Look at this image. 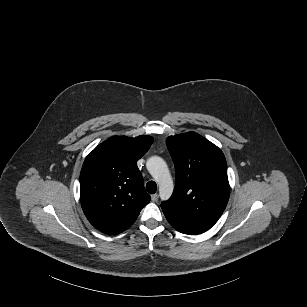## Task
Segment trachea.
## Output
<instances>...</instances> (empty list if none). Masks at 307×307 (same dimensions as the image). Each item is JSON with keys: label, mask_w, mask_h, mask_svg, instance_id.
<instances>
[{"label": "trachea", "mask_w": 307, "mask_h": 307, "mask_svg": "<svg viewBox=\"0 0 307 307\" xmlns=\"http://www.w3.org/2000/svg\"><path fill=\"white\" fill-rule=\"evenodd\" d=\"M146 190L150 193V194H154L157 191V185L154 181H149L146 184Z\"/></svg>", "instance_id": "obj_1"}]
</instances>
